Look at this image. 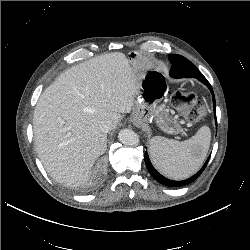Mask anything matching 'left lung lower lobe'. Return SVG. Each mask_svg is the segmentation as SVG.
Returning a JSON list of instances; mask_svg holds the SVG:
<instances>
[{"label": "left lung lower lobe", "instance_id": "1", "mask_svg": "<svg viewBox=\"0 0 250 250\" xmlns=\"http://www.w3.org/2000/svg\"><path fill=\"white\" fill-rule=\"evenodd\" d=\"M169 60L172 63V66L170 69V76L171 77H173V78H191V77L197 78L199 81L204 83L210 89V91L212 93V97H213L214 114H215V118H216V104H215L214 93H213L211 85L206 80V78L202 75V73L188 59L184 58L181 55L170 54ZM209 158L207 159V161L205 162L203 167L194 176H192L186 180L174 181V180H170V179L165 178L159 172H157V170L152 166L147 152H145V155H144L145 163H146V166H147L149 173L152 175V177L156 181H158L159 183H161L165 186H168V187L185 186V185H188V184L192 183L193 181H195L200 176V174L203 172V170L205 169V167L209 161Z\"/></svg>", "mask_w": 250, "mask_h": 250}]
</instances>
